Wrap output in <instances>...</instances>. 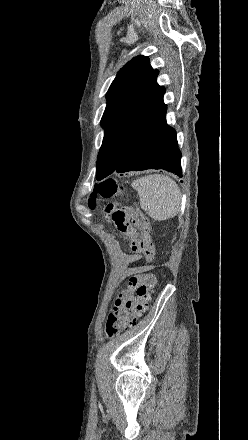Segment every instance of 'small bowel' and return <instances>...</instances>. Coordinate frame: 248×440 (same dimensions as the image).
Returning <instances> with one entry per match:
<instances>
[{"instance_id": "small-bowel-1", "label": "small bowel", "mask_w": 248, "mask_h": 440, "mask_svg": "<svg viewBox=\"0 0 248 440\" xmlns=\"http://www.w3.org/2000/svg\"><path fill=\"white\" fill-rule=\"evenodd\" d=\"M126 234L130 239L131 249L133 251V254L123 256V262L124 263H132V262H135L139 259V254H138L139 251L137 249V244H138V240H139V237L141 234V227L137 224L131 225L130 230ZM142 271H143V268H141V267H133V268L127 269L126 272L128 275L135 276V275H139ZM130 295H131V290H129L126 293L120 294L119 297L116 299L115 307L117 309L126 308L125 298Z\"/></svg>"}]
</instances>
